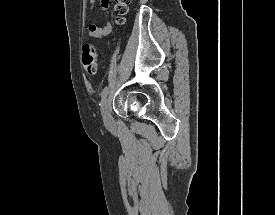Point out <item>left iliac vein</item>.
Here are the masks:
<instances>
[{
  "label": "left iliac vein",
  "instance_id": "left-iliac-vein-1",
  "mask_svg": "<svg viewBox=\"0 0 275 215\" xmlns=\"http://www.w3.org/2000/svg\"><path fill=\"white\" fill-rule=\"evenodd\" d=\"M101 113H102L103 122H104L105 127L111 128L113 125V118L109 111L107 100H104V102L102 104Z\"/></svg>",
  "mask_w": 275,
  "mask_h": 215
}]
</instances>
